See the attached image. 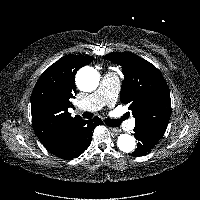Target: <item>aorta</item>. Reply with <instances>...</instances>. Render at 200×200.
Listing matches in <instances>:
<instances>
[{
  "label": "aorta",
  "mask_w": 200,
  "mask_h": 200,
  "mask_svg": "<svg viewBox=\"0 0 200 200\" xmlns=\"http://www.w3.org/2000/svg\"><path fill=\"white\" fill-rule=\"evenodd\" d=\"M100 81L99 73L93 67H83L76 75V84L84 92L94 91ZM117 146L125 153L132 152L136 147L135 138L129 134H120L117 140Z\"/></svg>",
  "instance_id": "obj_1"
}]
</instances>
